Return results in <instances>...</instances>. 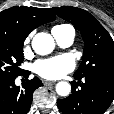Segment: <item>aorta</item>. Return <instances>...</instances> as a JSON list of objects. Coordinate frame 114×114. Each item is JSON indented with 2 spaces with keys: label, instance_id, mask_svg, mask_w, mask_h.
Listing matches in <instances>:
<instances>
[{
  "label": "aorta",
  "instance_id": "762f6f07",
  "mask_svg": "<svg viewBox=\"0 0 114 114\" xmlns=\"http://www.w3.org/2000/svg\"><path fill=\"white\" fill-rule=\"evenodd\" d=\"M54 46L53 37L44 32L36 34L32 40V48L39 55L51 53ZM56 92L60 96H68L71 92V85L68 82L61 81L56 85Z\"/></svg>",
  "mask_w": 114,
  "mask_h": 114
}]
</instances>
